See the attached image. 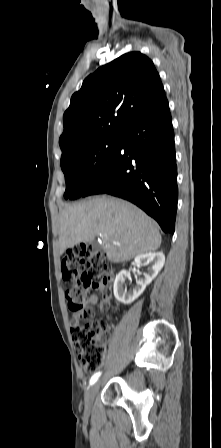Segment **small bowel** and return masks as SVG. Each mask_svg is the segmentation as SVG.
Returning a JSON list of instances; mask_svg holds the SVG:
<instances>
[{"label": "small bowel", "mask_w": 221, "mask_h": 448, "mask_svg": "<svg viewBox=\"0 0 221 448\" xmlns=\"http://www.w3.org/2000/svg\"><path fill=\"white\" fill-rule=\"evenodd\" d=\"M99 291L103 294V299L99 302L98 296L96 294H91L89 296L88 303L90 305L99 304V308L102 311H107L109 309L112 300L111 295L109 293V288L101 287ZM82 317H83L82 313H74L72 316V324L76 325Z\"/></svg>", "instance_id": "c3829d8e"}]
</instances>
